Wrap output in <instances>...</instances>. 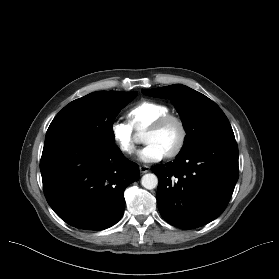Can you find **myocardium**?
Returning <instances> with one entry per match:
<instances>
[{
  "instance_id": "myocardium-1",
  "label": "myocardium",
  "mask_w": 279,
  "mask_h": 279,
  "mask_svg": "<svg viewBox=\"0 0 279 279\" xmlns=\"http://www.w3.org/2000/svg\"><path fill=\"white\" fill-rule=\"evenodd\" d=\"M170 122H174L178 126L179 139H178L176 145L165 154V156L168 158L177 156L183 150V148L186 144L188 132H187V127H186L184 120L177 115L168 113L166 115H163V116L157 118L155 121H153L148 126V129L151 131H158Z\"/></svg>"
}]
</instances>
